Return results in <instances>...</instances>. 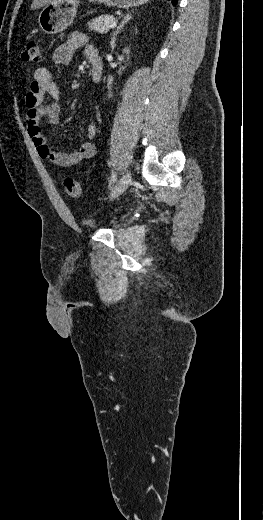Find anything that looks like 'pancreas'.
<instances>
[{
  "label": "pancreas",
  "mask_w": 263,
  "mask_h": 520,
  "mask_svg": "<svg viewBox=\"0 0 263 520\" xmlns=\"http://www.w3.org/2000/svg\"><path fill=\"white\" fill-rule=\"evenodd\" d=\"M115 21V18L112 15L105 14L99 17H96L91 22H88L89 29L94 30L99 33H106L109 31L110 23Z\"/></svg>",
  "instance_id": "obj_1"
}]
</instances>
